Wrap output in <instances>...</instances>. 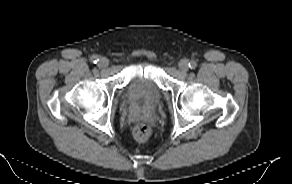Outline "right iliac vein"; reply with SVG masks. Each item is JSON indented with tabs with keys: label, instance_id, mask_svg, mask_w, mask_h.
Segmentation results:
<instances>
[{
	"label": "right iliac vein",
	"instance_id": "63e3f726",
	"mask_svg": "<svg viewBox=\"0 0 292 184\" xmlns=\"http://www.w3.org/2000/svg\"><path fill=\"white\" fill-rule=\"evenodd\" d=\"M98 65H99V67L105 68L109 65V60L105 57H101L98 60Z\"/></svg>",
	"mask_w": 292,
	"mask_h": 184
}]
</instances>
